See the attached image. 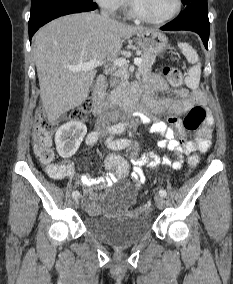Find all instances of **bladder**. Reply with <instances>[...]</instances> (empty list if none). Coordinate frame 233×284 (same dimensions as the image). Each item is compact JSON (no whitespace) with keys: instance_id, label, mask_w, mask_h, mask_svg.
I'll return each instance as SVG.
<instances>
[{"instance_id":"31cf9c89","label":"bladder","mask_w":233,"mask_h":284,"mask_svg":"<svg viewBox=\"0 0 233 284\" xmlns=\"http://www.w3.org/2000/svg\"><path fill=\"white\" fill-rule=\"evenodd\" d=\"M136 192L135 187L124 184L117 192L110 191L105 194L100 198V202L112 206L129 204L134 201ZM83 224L94 238L114 246H124L144 238L152 228V219L146 212L134 211L118 215L87 216Z\"/></svg>"}]
</instances>
